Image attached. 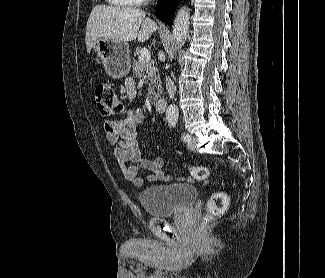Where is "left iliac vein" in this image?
Returning <instances> with one entry per match:
<instances>
[{"label":"left iliac vein","instance_id":"4c4485c4","mask_svg":"<svg viewBox=\"0 0 325 278\" xmlns=\"http://www.w3.org/2000/svg\"><path fill=\"white\" fill-rule=\"evenodd\" d=\"M187 147L190 150H195L196 148V138L191 136V140L187 143Z\"/></svg>","mask_w":325,"mask_h":278}]
</instances>
